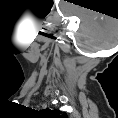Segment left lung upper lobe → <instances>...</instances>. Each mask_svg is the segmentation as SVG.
<instances>
[{"label": "left lung upper lobe", "mask_w": 118, "mask_h": 118, "mask_svg": "<svg viewBox=\"0 0 118 118\" xmlns=\"http://www.w3.org/2000/svg\"><path fill=\"white\" fill-rule=\"evenodd\" d=\"M47 113L49 114H52V115H57L59 117V112L58 111H54V110H49V109H46L45 110ZM65 115V114H64Z\"/></svg>", "instance_id": "obj_1"}]
</instances>
